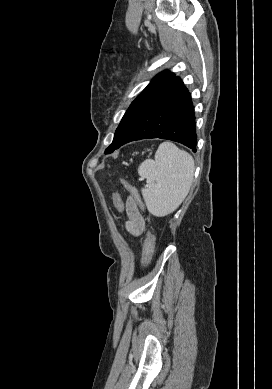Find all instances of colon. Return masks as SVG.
Here are the masks:
<instances>
[{
  "label": "colon",
  "mask_w": 272,
  "mask_h": 389,
  "mask_svg": "<svg viewBox=\"0 0 272 389\" xmlns=\"http://www.w3.org/2000/svg\"><path fill=\"white\" fill-rule=\"evenodd\" d=\"M122 183L125 189L129 192L130 197H132L141 206V199L137 189L134 186H132L130 183H128L126 180H122ZM113 201H114V206L118 211L123 210L125 204L118 193H115L113 195ZM154 245H155L154 234L151 231H148L144 239L143 260L145 266H148L152 260L154 254Z\"/></svg>",
  "instance_id": "colon-1"
}]
</instances>
